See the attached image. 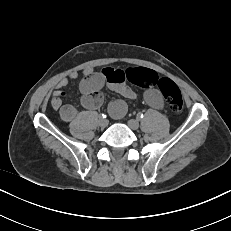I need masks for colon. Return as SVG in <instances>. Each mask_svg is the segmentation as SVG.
Returning <instances> with one entry per match:
<instances>
[{
  "label": "colon",
  "mask_w": 231,
  "mask_h": 231,
  "mask_svg": "<svg viewBox=\"0 0 231 231\" xmlns=\"http://www.w3.org/2000/svg\"><path fill=\"white\" fill-rule=\"evenodd\" d=\"M126 80L141 88L157 86L173 112H180L183 108L182 94L177 85L167 78H160L154 71L145 68H133L125 71Z\"/></svg>",
  "instance_id": "obj_1"
}]
</instances>
